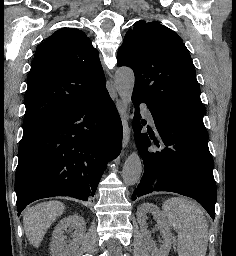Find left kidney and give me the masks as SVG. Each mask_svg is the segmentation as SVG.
I'll use <instances>...</instances> for the list:
<instances>
[{
	"label": "left kidney",
	"instance_id": "1",
	"mask_svg": "<svg viewBox=\"0 0 236 256\" xmlns=\"http://www.w3.org/2000/svg\"><path fill=\"white\" fill-rule=\"evenodd\" d=\"M147 212H150L154 216L155 220H157L158 228L162 232L163 242L160 248H157V244L151 240L150 234L147 232ZM136 218L138 224H140L142 236L151 256H168L171 248V234L170 228L165 220V214H162L161 210L157 206H154V204H141L137 210Z\"/></svg>",
	"mask_w": 236,
	"mask_h": 256
}]
</instances>
